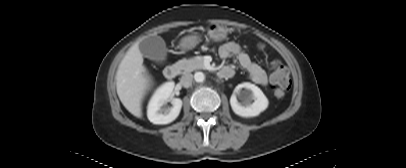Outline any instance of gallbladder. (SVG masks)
<instances>
[{"label":"gallbladder","mask_w":406,"mask_h":168,"mask_svg":"<svg viewBox=\"0 0 406 168\" xmlns=\"http://www.w3.org/2000/svg\"><path fill=\"white\" fill-rule=\"evenodd\" d=\"M139 50L144 57L157 63H163L167 57L165 41L157 35L143 39L139 44Z\"/></svg>","instance_id":"obj_1"}]
</instances>
